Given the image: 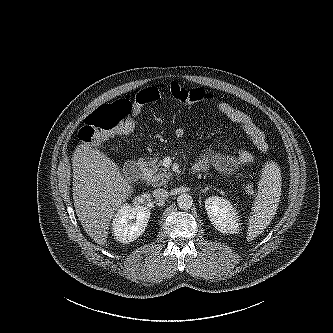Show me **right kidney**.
Segmentation results:
<instances>
[{"label": "right kidney", "mask_w": 333, "mask_h": 333, "mask_svg": "<svg viewBox=\"0 0 333 333\" xmlns=\"http://www.w3.org/2000/svg\"><path fill=\"white\" fill-rule=\"evenodd\" d=\"M150 214L145 206L123 204L112 221L114 238L124 244L133 242L144 233Z\"/></svg>", "instance_id": "1"}]
</instances>
